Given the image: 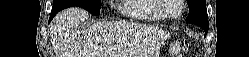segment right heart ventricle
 <instances>
[{
    "label": "right heart ventricle",
    "mask_w": 249,
    "mask_h": 57,
    "mask_svg": "<svg viewBox=\"0 0 249 57\" xmlns=\"http://www.w3.org/2000/svg\"><path fill=\"white\" fill-rule=\"evenodd\" d=\"M159 0H125L121 8L122 13L140 21H161L164 16L158 8Z\"/></svg>",
    "instance_id": "1"
}]
</instances>
